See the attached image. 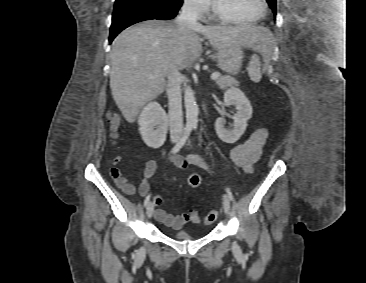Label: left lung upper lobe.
Returning <instances> with one entry per match:
<instances>
[{
	"label": "left lung upper lobe",
	"instance_id": "obj_1",
	"mask_svg": "<svg viewBox=\"0 0 366 283\" xmlns=\"http://www.w3.org/2000/svg\"><path fill=\"white\" fill-rule=\"evenodd\" d=\"M272 9L273 13L276 15V0H266Z\"/></svg>",
	"mask_w": 366,
	"mask_h": 283
}]
</instances>
